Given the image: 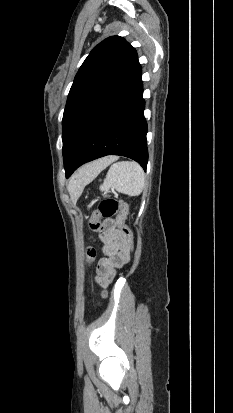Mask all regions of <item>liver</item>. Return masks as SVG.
Returning a JSON list of instances; mask_svg holds the SVG:
<instances>
[{"label": "liver", "mask_w": 233, "mask_h": 413, "mask_svg": "<svg viewBox=\"0 0 233 413\" xmlns=\"http://www.w3.org/2000/svg\"><path fill=\"white\" fill-rule=\"evenodd\" d=\"M112 157L102 158L80 168L71 180L69 185L70 195L73 197L81 189L82 185L91 180L98 172L105 168L111 161Z\"/></svg>", "instance_id": "1"}]
</instances>
